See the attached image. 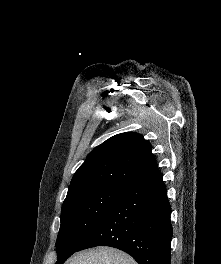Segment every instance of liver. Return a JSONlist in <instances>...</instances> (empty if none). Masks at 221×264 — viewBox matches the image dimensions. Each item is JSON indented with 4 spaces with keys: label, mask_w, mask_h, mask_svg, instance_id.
Returning a JSON list of instances; mask_svg holds the SVG:
<instances>
[{
    "label": "liver",
    "mask_w": 221,
    "mask_h": 264,
    "mask_svg": "<svg viewBox=\"0 0 221 264\" xmlns=\"http://www.w3.org/2000/svg\"><path fill=\"white\" fill-rule=\"evenodd\" d=\"M65 264H137L128 254L110 247L86 250L71 257Z\"/></svg>",
    "instance_id": "6515ba94"
}]
</instances>
